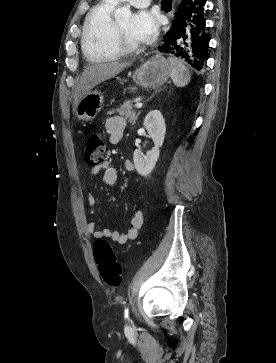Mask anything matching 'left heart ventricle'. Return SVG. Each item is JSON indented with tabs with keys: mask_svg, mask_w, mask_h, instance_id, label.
Instances as JSON below:
<instances>
[{
	"mask_svg": "<svg viewBox=\"0 0 276 363\" xmlns=\"http://www.w3.org/2000/svg\"><path fill=\"white\" fill-rule=\"evenodd\" d=\"M132 19H133L132 16H128L118 20L122 32V37L124 41L129 45L132 46L141 45L143 41H141L134 32L132 27Z\"/></svg>",
	"mask_w": 276,
	"mask_h": 363,
	"instance_id": "left-heart-ventricle-1",
	"label": "left heart ventricle"
}]
</instances>
